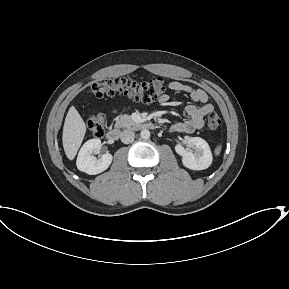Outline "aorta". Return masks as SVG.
Wrapping results in <instances>:
<instances>
[{
    "mask_svg": "<svg viewBox=\"0 0 289 289\" xmlns=\"http://www.w3.org/2000/svg\"><path fill=\"white\" fill-rule=\"evenodd\" d=\"M140 137L142 139H149L150 138V131L147 130V129H143L141 132H140Z\"/></svg>",
    "mask_w": 289,
    "mask_h": 289,
    "instance_id": "762f6f07",
    "label": "aorta"
}]
</instances>
